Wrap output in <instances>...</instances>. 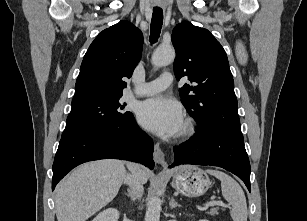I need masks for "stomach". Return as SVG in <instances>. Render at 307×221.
Segmentation results:
<instances>
[{"label":"stomach","mask_w":307,"mask_h":221,"mask_svg":"<svg viewBox=\"0 0 307 221\" xmlns=\"http://www.w3.org/2000/svg\"><path fill=\"white\" fill-rule=\"evenodd\" d=\"M173 187L189 197L203 195L211 185L206 171L197 166H180L173 176Z\"/></svg>","instance_id":"0dacf381"}]
</instances>
